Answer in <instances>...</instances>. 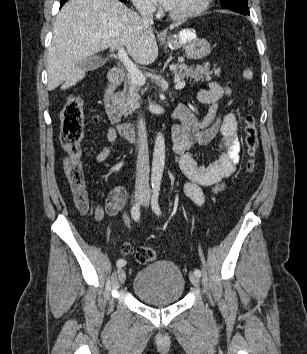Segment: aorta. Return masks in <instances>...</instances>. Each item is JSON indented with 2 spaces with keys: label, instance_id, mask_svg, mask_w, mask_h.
<instances>
[{
  "label": "aorta",
  "instance_id": "obj_1",
  "mask_svg": "<svg viewBox=\"0 0 307 354\" xmlns=\"http://www.w3.org/2000/svg\"><path fill=\"white\" fill-rule=\"evenodd\" d=\"M165 164V139L164 135L159 132L155 139L153 161L151 169L152 185H160Z\"/></svg>",
  "mask_w": 307,
  "mask_h": 354
}]
</instances>
